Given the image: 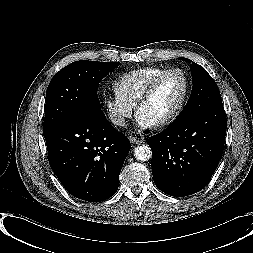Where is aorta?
<instances>
[{
  "label": "aorta",
  "mask_w": 253,
  "mask_h": 253,
  "mask_svg": "<svg viewBox=\"0 0 253 253\" xmlns=\"http://www.w3.org/2000/svg\"><path fill=\"white\" fill-rule=\"evenodd\" d=\"M134 156L139 161H147L152 156L151 148L148 145H139L134 150Z\"/></svg>",
  "instance_id": "aorta-1"
}]
</instances>
